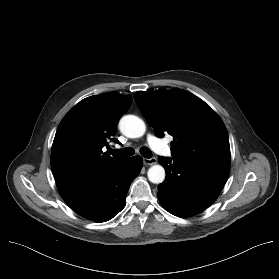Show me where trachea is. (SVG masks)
<instances>
[{
	"mask_svg": "<svg viewBox=\"0 0 279 279\" xmlns=\"http://www.w3.org/2000/svg\"><path fill=\"white\" fill-rule=\"evenodd\" d=\"M112 154L121 156V157H129L134 154V149L131 147H126L124 149H119V150H110ZM140 153L143 157L145 158H151L152 152L148 147H142L140 149Z\"/></svg>",
	"mask_w": 279,
	"mask_h": 279,
	"instance_id": "1",
	"label": "trachea"
}]
</instances>
